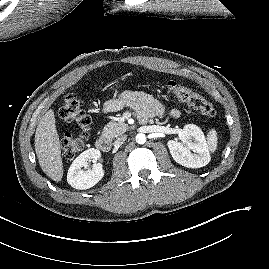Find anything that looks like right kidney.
Listing matches in <instances>:
<instances>
[{
    "mask_svg": "<svg viewBox=\"0 0 269 269\" xmlns=\"http://www.w3.org/2000/svg\"><path fill=\"white\" fill-rule=\"evenodd\" d=\"M99 150L91 148L82 152L71 164L67 173V182L75 189L85 190L96 185L104 176L102 164L96 163L100 158ZM87 162H93L92 169L83 170Z\"/></svg>",
    "mask_w": 269,
    "mask_h": 269,
    "instance_id": "right-kidney-1",
    "label": "right kidney"
}]
</instances>
